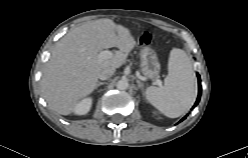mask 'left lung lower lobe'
Returning <instances> with one entry per match:
<instances>
[{"mask_svg":"<svg viewBox=\"0 0 248 158\" xmlns=\"http://www.w3.org/2000/svg\"><path fill=\"white\" fill-rule=\"evenodd\" d=\"M198 76V85H199V91H198V98L196 100V103L194 104V107L198 104L199 100H200V96H201V85H200V76L197 74ZM193 107V108H194ZM186 117H184L182 120H184ZM181 120V121H182Z\"/></svg>","mask_w":248,"mask_h":158,"instance_id":"0a47b994","label":"left lung lower lobe"}]
</instances>
